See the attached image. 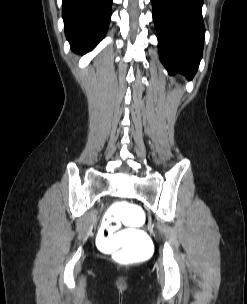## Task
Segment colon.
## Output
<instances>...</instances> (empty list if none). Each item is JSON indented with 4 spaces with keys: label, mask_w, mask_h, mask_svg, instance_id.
<instances>
[{
    "label": "colon",
    "mask_w": 247,
    "mask_h": 304,
    "mask_svg": "<svg viewBox=\"0 0 247 304\" xmlns=\"http://www.w3.org/2000/svg\"><path fill=\"white\" fill-rule=\"evenodd\" d=\"M104 217L95 237L99 253H118L119 259H152L156 243L139 227L148 224L141 202H114L104 210Z\"/></svg>",
    "instance_id": "obj_1"
}]
</instances>
